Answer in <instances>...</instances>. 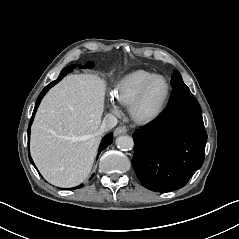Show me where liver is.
<instances>
[{
	"label": "liver",
	"instance_id": "1",
	"mask_svg": "<svg viewBox=\"0 0 239 239\" xmlns=\"http://www.w3.org/2000/svg\"><path fill=\"white\" fill-rule=\"evenodd\" d=\"M103 84L69 75L43 99L31 132L32 158L44 178L60 187L85 180L101 139Z\"/></svg>",
	"mask_w": 239,
	"mask_h": 239
}]
</instances>
